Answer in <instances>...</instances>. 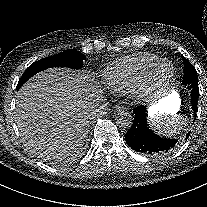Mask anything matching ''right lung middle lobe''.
I'll return each instance as SVG.
<instances>
[{
	"label": "right lung middle lobe",
	"mask_w": 207,
	"mask_h": 207,
	"mask_svg": "<svg viewBox=\"0 0 207 207\" xmlns=\"http://www.w3.org/2000/svg\"><path fill=\"white\" fill-rule=\"evenodd\" d=\"M85 56L75 50L70 49L59 54L38 60L30 65L27 70L24 72L22 77L20 78L17 90L33 75L36 73L43 71L44 69L51 68V67H70L72 69H80L83 64V60Z\"/></svg>",
	"instance_id": "obj_1"
}]
</instances>
